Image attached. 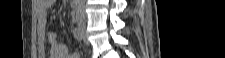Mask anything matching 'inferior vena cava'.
I'll return each instance as SVG.
<instances>
[{
  "label": "inferior vena cava",
  "mask_w": 225,
  "mask_h": 58,
  "mask_svg": "<svg viewBox=\"0 0 225 58\" xmlns=\"http://www.w3.org/2000/svg\"><path fill=\"white\" fill-rule=\"evenodd\" d=\"M83 0H78L77 1V15L80 16L81 18L85 19V12L83 9Z\"/></svg>",
  "instance_id": "602c4592"
}]
</instances>
